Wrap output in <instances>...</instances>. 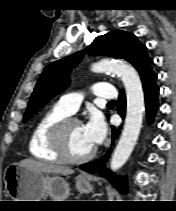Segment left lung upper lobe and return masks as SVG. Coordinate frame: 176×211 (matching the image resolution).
<instances>
[{
  "label": "left lung upper lobe",
  "mask_w": 176,
  "mask_h": 211,
  "mask_svg": "<svg viewBox=\"0 0 176 211\" xmlns=\"http://www.w3.org/2000/svg\"><path fill=\"white\" fill-rule=\"evenodd\" d=\"M91 55H109L130 62L146 80L156 75L151 67L146 46L135 35L121 30H114L96 39L89 47ZM84 54L77 52L49 64L38 79L31 95L23 122L28 121L51 98L65 90L70 84L71 70L82 60Z\"/></svg>",
  "instance_id": "left-lung-upper-lobe-1"
}]
</instances>
